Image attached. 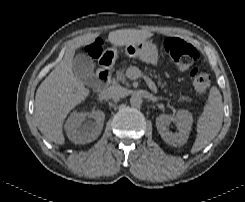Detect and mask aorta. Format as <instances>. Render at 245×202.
Returning <instances> with one entry per match:
<instances>
[{
  "label": "aorta",
  "instance_id": "aorta-1",
  "mask_svg": "<svg viewBox=\"0 0 245 202\" xmlns=\"http://www.w3.org/2000/svg\"><path fill=\"white\" fill-rule=\"evenodd\" d=\"M142 97L138 94H134L130 98V104L133 107H140L142 105Z\"/></svg>",
  "mask_w": 245,
  "mask_h": 202
}]
</instances>
